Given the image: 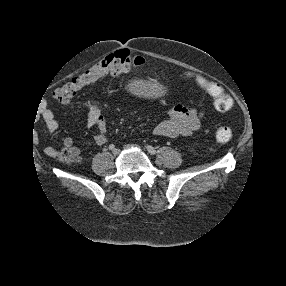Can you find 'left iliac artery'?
I'll return each mask as SVG.
<instances>
[{
  "instance_id": "44dca946",
  "label": "left iliac artery",
  "mask_w": 286,
  "mask_h": 286,
  "mask_svg": "<svg viewBox=\"0 0 286 286\" xmlns=\"http://www.w3.org/2000/svg\"><path fill=\"white\" fill-rule=\"evenodd\" d=\"M145 148H146L147 151H148L150 154H152V155H154V154L156 153L155 148L152 147V146H150V145H145Z\"/></svg>"
}]
</instances>
